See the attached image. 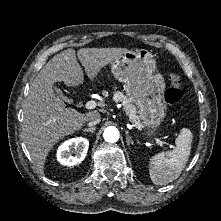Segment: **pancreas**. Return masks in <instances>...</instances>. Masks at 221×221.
<instances>
[{"mask_svg": "<svg viewBox=\"0 0 221 221\" xmlns=\"http://www.w3.org/2000/svg\"><path fill=\"white\" fill-rule=\"evenodd\" d=\"M113 100L122 103L126 114L129 116L130 121L135 127L139 129L143 127V124L137 115L136 107L133 105V102L129 97L125 96L121 91H116L113 94Z\"/></svg>", "mask_w": 221, "mask_h": 221, "instance_id": "1", "label": "pancreas"}]
</instances>
